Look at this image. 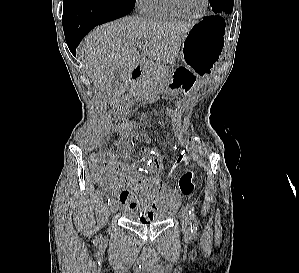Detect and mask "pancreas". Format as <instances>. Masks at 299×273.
I'll return each instance as SVG.
<instances>
[{"label": "pancreas", "instance_id": "1", "mask_svg": "<svg viewBox=\"0 0 299 273\" xmlns=\"http://www.w3.org/2000/svg\"><path fill=\"white\" fill-rule=\"evenodd\" d=\"M146 75L137 83L134 90L136 95L152 91L155 82L161 75L166 74V66L160 62H149L145 65Z\"/></svg>", "mask_w": 299, "mask_h": 273}]
</instances>
